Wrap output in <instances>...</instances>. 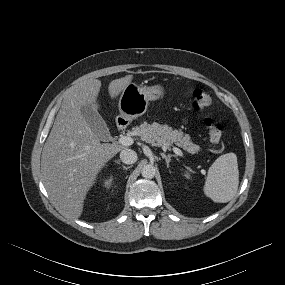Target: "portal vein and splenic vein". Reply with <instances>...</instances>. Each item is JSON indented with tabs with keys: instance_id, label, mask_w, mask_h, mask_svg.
Segmentation results:
<instances>
[{
	"instance_id": "portal-vein-and-splenic-vein-1",
	"label": "portal vein and splenic vein",
	"mask_w": 285,
	"mask_h": 285,
	"mask_svg": "<svg viewBox=\"0 0 285 285\" xmlns=\"http://www.w3.org/2000/svg\"><path fill=\"white\" fill-rule=\"evenodd\" d=\"M119 143L124 145V146H130L133 144V139L131 137H128V136H121L119 138ZM173 151L175 154H177L179 156H183V153L179 148L173 147Z\"/></svg>"
}]
</instances>
